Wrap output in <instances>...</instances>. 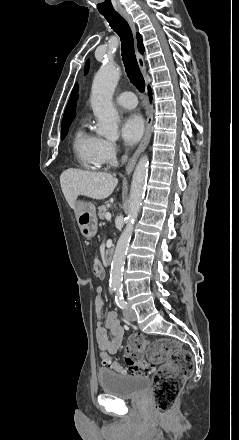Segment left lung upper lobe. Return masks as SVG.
<instances>
[{"instance_id": "1", "label": "left lung upper lobe", "mask_w": 239, "mask_h": 440, "mask_svg": "<svg viewBox=\"0 0 239 440\" xmlns=\"http://www.w3.org/2000/svg\"><path fill=\"white\" fill-rule=\"evenodd\" d=\"M88 69H89V61H87L85 64V68H84L85 74L88 72Z\"/></svg>"}]
</instances>
